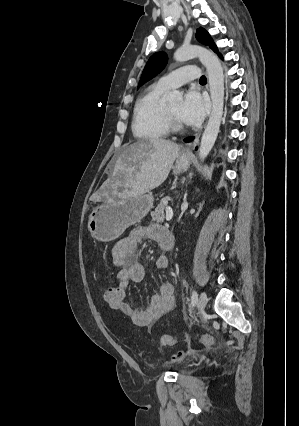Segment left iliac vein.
Masks as SVG:
<instances>
[{
	"label": "left iliac vein",
	"instance_id": "left-iliac-vein-1",
	"mask_svg": "<svg viewBox=\"0 0 299 426\" xmlns=\"http://www.w3.org/2000/svg\"><path fill=\"white\" fill-rule=\"evenodd\" d=\"M207 304V295L205 292H201L199 296V309L203 311Z\"/></svg>",
	"mask_w": 299,
	"mask_h": 426
}]
</instances>
